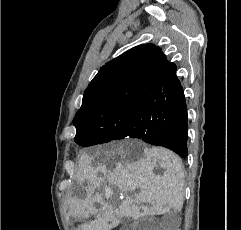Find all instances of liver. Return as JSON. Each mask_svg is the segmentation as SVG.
I'll list each match as a JSON object with an SVG mask.
<instances>
[{
  "label": "liver",
  "mask_w": 241,
  "mask_h": 230,
  "mask_svg": "<svg viewBox=\"0 0 241 230\" xmlns=\"http://www.w3.org/2000/svg\"><path fill=\"white\" fill-rule=\"evenodd\" d=\"M137 151L143 150L144 157L131 160ZM104 159H95L83 154L79 163L78 181L84 187L86 198H69L68 215L88 217L98 210L94 203L102 206L100 215L92 222L81 225L78 230H110L117 222L113 208L105 203L100 190L104 182L113 184L119 191L127 194L139 189L134 196H126L120 203L118 215L138 219L145 215L164 214L174 210L179 212L184 201V170L181 159L164 148H148L139 141H125L104 151ZM160 166L162 174H155ZM148 203L150 206H140ZM112 222V224H109Z\"/></svg>",
  "instance_id": "6515ba94"
}]
</instances>
